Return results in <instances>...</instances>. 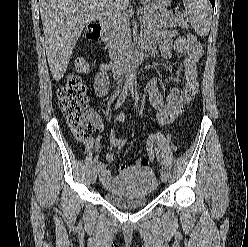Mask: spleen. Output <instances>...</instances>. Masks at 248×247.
<instances>
[{
    "instance_id": "spleen-1",
    "label": "spleen",
    "mask_w": 248,
    "mask_h": 247,
    "mask_svg": "<svg viewBox=\"0 0 248 247\" xmlns=\"http://www.w3.org/2000/svg\"><path fill=\"white\" fill-rule=\"evenodd\" d=\"M185 14L199 36H206L211 24V6L208 0H183Z\"/></svg>"
}]
</instances>
